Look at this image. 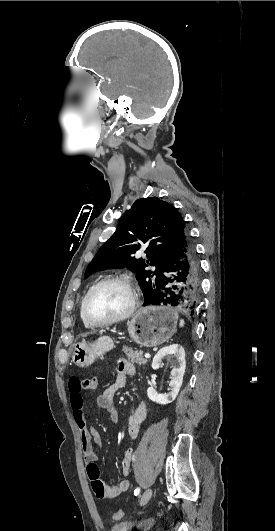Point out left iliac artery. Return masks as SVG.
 I'll return each instance as SVG.
<instances>
[{"mask_svg":"<svg viewBox=\"0 0 275 531\" xmlns=\"http://www.w3.org/2000/svg\"><path fill=\"white\" fill-rule=\"evenodd\" d=\"M139 493H140V488L138 487L134 490V495L137 496L139 495Z\"/></svg>","mask_w":275,"mask_h":531,"instance_id":"left-iliac-artery-1","label":"left iliac artery"}]
</instances>
